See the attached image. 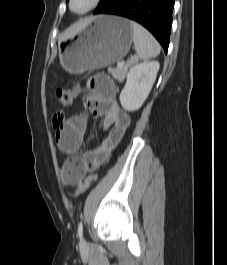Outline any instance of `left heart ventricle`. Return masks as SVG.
<instances>
[{
    "instance_id": "b2bd125f",
    "label": "left heart ventricle",
    "mask_w": 227,
    "mask_h": 265,
    "mask_svg": "<svg viewBox=\"0 0 227 265\" xmlns=\"http://www.w3.org/2000/svg\"><path fill=\"white\" fill-rule=\"evenodd\" d=\"M91 0H74L73 1V9L74 10H82L90 4Z\"/></svg>"
}]
</instances>
